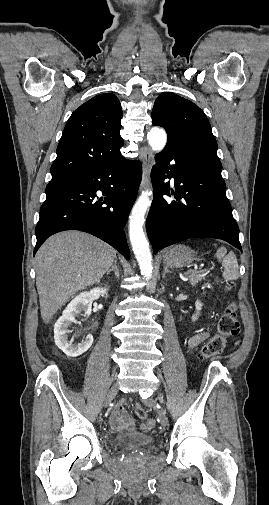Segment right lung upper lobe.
I'll list each match as a JSON object with an SVG mask.
<instances>
[{"label":"right lung upper lobe","mask_w":269,"mask_h":505,"mask_svg":"<svg viewBox=\"0 0 269 505\" xmlns=\"http://www.w3.org/2000/svg\"><path fill=\"white\" fill-rule=\"evenodd\" d=\"M122 115L120 102L111 93L97 95L76 109L58 144L50 182L74 177L121 156Z\"/></svg>","instance_id":"cb5924a9"}]
</instances>
